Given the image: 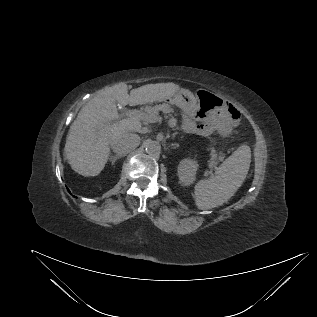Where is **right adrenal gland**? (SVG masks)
I'll list each match as a JSON object with an SVG mask.
<instances>
[{"label": "right adrenal gland", "mask_w": 317, "mask_h": 317, "mask_svg": "<svg viewBox=\"0 0 317 317\" xmlns=\"http://www.w3.org/2000/svg\"><path fill=\"white\" fill-rule=\"evenodd\" d=\"M123 156H120V155H111L110 156V158H109V160L112 162V165H114L115 164V162H116V160H118V159H120V158H122Z\"/></svg>", "instance_id": "1"}]
</instances>
